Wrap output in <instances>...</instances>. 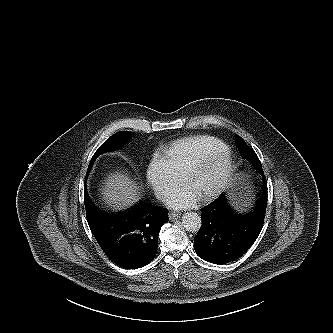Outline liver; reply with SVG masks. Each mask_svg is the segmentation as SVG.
Masks as SVG:
<instances>
[{"label": "liver", "mask_w": 333, "mask_h": 333, "mask_svg": "<svg viewBox=\"0 0 333 333\" xmlns=\"http://www.w3.org/2000/svg\"><path fill=\"white\" fill-rule=\"evenodd\" d=\"M103 200L113 209H124L139 198V186L124 172L107 176L102 186Z\"/></svg>", "instance_id": "1"}]
</instances>
